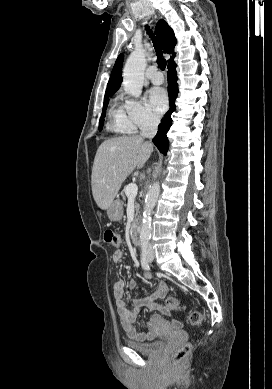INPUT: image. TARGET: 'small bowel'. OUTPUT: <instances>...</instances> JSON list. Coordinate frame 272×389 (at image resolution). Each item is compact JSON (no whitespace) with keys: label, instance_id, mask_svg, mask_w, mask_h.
<instances>
[{"label":"small bowel","instance_id":"obj_1","mask_svg":"<svg viewBox=\"0 0 272 389\" xmlns=\"http://www.w3.org/2000/svg\"><path fill=\"white\" fill-rule=\"evenodd\" d=\"M124 258V252L117 250L112 255V260L115 263H119ZM147 278L150 277L149 274H145ZM137 283L135 280H131L129 282V288L135 289ZM168 285L165 282H160L152 294L146 298H136L132 301L131 306L125 301V284L122 280H118L115 282L113 286L114 297L116 301L117 312L120 317L121 325L126 332L127 336L130 339L137 341H148L152 340L155 337V333L153 331V327L156 322L160 319L158 314L153 315L148 321V326L150 330L147 332L137 331L134 326L136 322L139 312L143 308H147L149 310H156L160 313H165V308L161 306L158 302L163 299L168 293Z\"/></svg>","mask_w":272,"mask_h":389}]
</instances>
